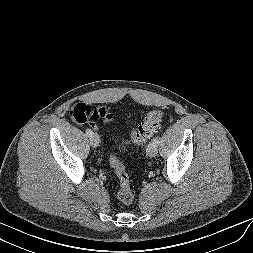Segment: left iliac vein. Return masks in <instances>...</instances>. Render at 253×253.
Wrapping results in <instances>:
<instances>
[{
    "label": "left iliac vein",
    "instance_id": "left-iliac-vein-1",
    "mask_svg": "<svg viewBox=\"0 0 253 253\" xmlns=\"http://www.w3.org/2000/svg\"><path fill=\"white\" fill-rule=\"evenodd\" d=\"M147 155L149 157H155L158 153L157 147L151 142L147 147Z\"/></svg>",
    "mask_w": 253,
    "mask_h": 253
}]
</instances>
